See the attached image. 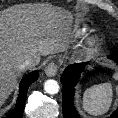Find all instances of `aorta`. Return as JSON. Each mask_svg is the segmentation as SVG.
<instances>
[{
	"instance_id": "obj_1",
	"label": "aorta",
	"mask_w": 118,
	"mask_h": 118,
	"mask_svg": "<svg viewBox=\"0 0 118 118\" xmlns=\"http://www.w3.org/2000/svg\"><path fill=\"white\" fill-rule=\"evenodd\" d=\"M44 90L50 95L57 94L59 92V84L54 79H49L44 83Z\"/></svg>"
}]
</instances>
